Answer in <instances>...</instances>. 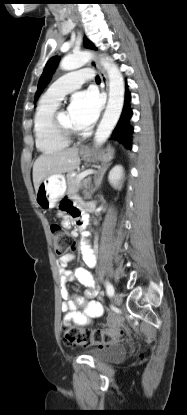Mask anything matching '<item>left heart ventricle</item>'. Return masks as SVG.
<instances>
[{
  "instance_id": "b2bd125f",
  "label": "left heart ventricle",
  "mask_w": 187,
  "mask_h": 415,
  "mask_svg": "<svg viewBox=\"0 0 187 415\" xmlns=\"http://www.w3.org/2000/svg\"><path fill=\"white\" fill-rule=\"evenodd\" d=\"M59 119H60V121L62 122V124H63V125H65L66 127L71 128V129H77V128L73 125V123H72V121H71V119H70V116H69L68 111H66V110L61 111V112L59 113Z\"/></svg>"
}]
</instances>
